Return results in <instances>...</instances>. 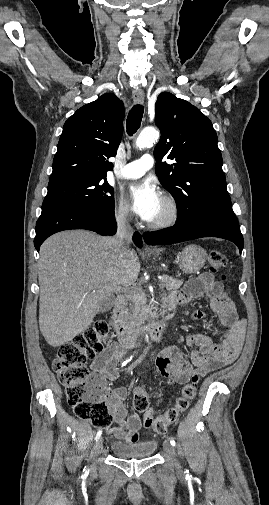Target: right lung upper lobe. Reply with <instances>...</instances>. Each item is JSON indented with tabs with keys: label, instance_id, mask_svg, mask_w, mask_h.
Wrapping results in <instances>:
<instances>
[{
	"label": "right lung upper lobe",
	"instance_id": "right-lung-upper-lobe-1",
	"mask_svg": "<svg viewBox=\"0 0 269 505\" xmlns=\"http://www.w3.org/2000/svg\"><path fill=\"white\" fill-rule=\"evenodd\" d=\"M124 105L107 93L78 109L64 124L48 188L105 179L123 133Z\"/></svg>",
	"mask_w": 269,
	"mask_h": 505
}]
</instances>
